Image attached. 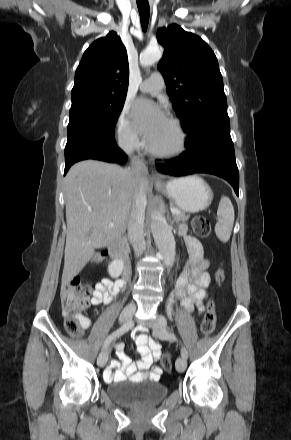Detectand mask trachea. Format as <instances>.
<instances>
[{"mask_svg":"<svg viewBox=\"0 0 291 440\" xmlns=\"http://www.w3.org/2000/svg\"><path fill=\"white\" fill-rule=\"evenodd\" d=\"M137 6L140 14L142 29L145 32L148 27L150 16L149 4L147 0H137Z\"/></svg>","mask_w":291,"mask_h":440,"instance_id":"3493384b","label":"trachea"}]
</instances>
